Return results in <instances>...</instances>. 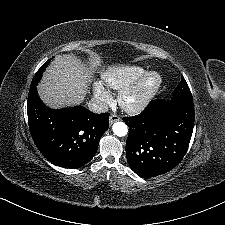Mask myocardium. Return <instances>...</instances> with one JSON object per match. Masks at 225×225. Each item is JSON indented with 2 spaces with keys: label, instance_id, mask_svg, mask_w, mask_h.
<instances>
[{
  "label": "myocardium",
  "instance_id": "obj_1",
  "mask_svg": "<svg viewBox=\"0 0 225 225\" xmlns=\"http://www.w3.org/2000/svg\"><path fill=\"white\" fill-rule=\"evenodd\" d=\"M162 85V76L151 70L144 73L132 86L119 96L121 108L130 114L142 112Z\"/></svg>",
  "mask_w": 225,
  "mask_h": 225
}]
</instances>
